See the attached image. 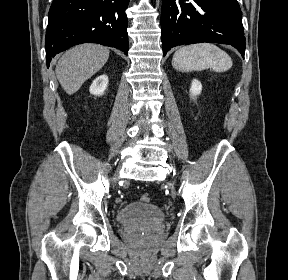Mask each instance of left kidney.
<instances>
[{"label":"left kidney","mask_w":288,"mask_h":280,"mask_svg":"<svg viewBox=\"0 0 288 280\" xmlns=\"http://www.w3.org/2000/svg\"><path fill=\"white\" fill-rule=\"evenodd\" d=\"M202 91V84L199 80L193 79L190 87V93L191 97L193 99L196 98L197 95H199Z\"/></svg>","instance_id":"obj_1"}]
</instances>
